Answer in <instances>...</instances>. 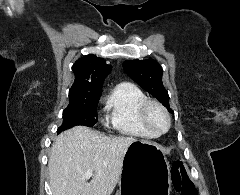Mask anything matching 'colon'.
<instances>
[{"label":"colon","mask_w":240,"mask_h":195,"mask_svg":"<svg viewBox=\"0 0 240 195\" xmlns=\"http://www.w3.org/2000/svg\"><path fill=\"white\" fill-rule=\"evenodd\" d=\"M173 174L179 178L178 181L181 183V186L176 187V190L178 191L179 195L197 194L196 187L183 165L176 166L173 169Z\"/></svg>","instance_id":"obj_1"}]
</instances>
